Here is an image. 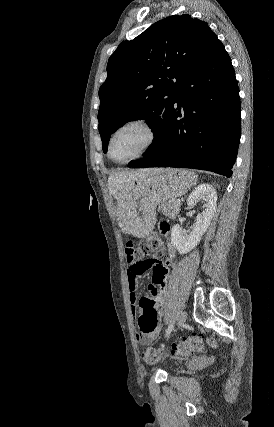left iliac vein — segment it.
<instances>
[{
    "label": "left iliac vein",
    "mask_w": 274,
    "mask_h": 427,
    "mask_svg": "<svg viewBox=\"0 0 274 427\" xmlns=\"http://www.w3.org/2000/svg\"><path fill=\"white\" fill-rule=\"evenodd\" d=\"M186 319H187V313L185 311H182L181 314L179 315L178 322H177L178 329H180L183 326V324L186 322Z\"/></svg>",
    "instance_id": "left-iliac-vein-1"
}]
</instances>
